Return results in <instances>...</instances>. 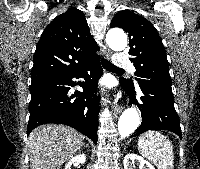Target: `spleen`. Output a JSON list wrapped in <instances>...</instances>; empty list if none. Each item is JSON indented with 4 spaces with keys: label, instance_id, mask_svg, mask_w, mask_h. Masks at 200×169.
I'll return each mask as SVG.
<instances>
[{
    "label": "spleen",
    "instance_id": "spleen-1",
    "mask_svg": "<svg viewBox=\"0 0 200 169\" xmlns=\"http://www.w3.org/2000/svg\"><path fill=\"white\" fill-rule=\"evenodd\" d=\"M142 156L153 162L158 169H174V154L170 140L158 131H147L138 139Z\"/></svg>",
    "mask_w": 200,
    "mask_h": 169
}]
</instances>
